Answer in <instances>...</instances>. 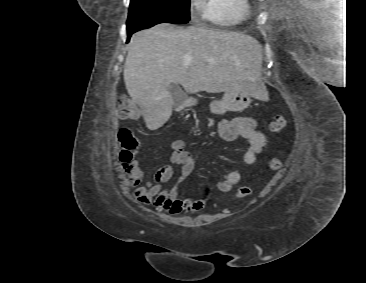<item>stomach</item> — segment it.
<instances>
[{
  "label": "stomach",
  "instance_id": "obj_1",
  "mask_svg": "<svg viewBox=\"0 0 366 283\" xmlns=\"http://www.w3.org/2000/svg\"><path fill=\"white\" fill-rule=\"evenodd\" d=\"M251 94L248 91L231 90L226 91L220 101H213L210 110L213 114L222 115L227 111H237L249 106Z\"/></svg>",
  "mask_w": 366,
  "mask_h": 283
}]
</instances>
